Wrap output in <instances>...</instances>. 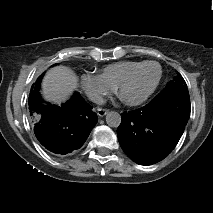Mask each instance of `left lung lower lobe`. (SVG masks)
Masks as SVG:
<instances>
[{"label":"left lung lower lobe","instance_id":"left-lung-lower-lobe-1","mask_svg":"<svg viewBox=\"0 0 213 213\" xmlns=\"http://www.w3.org/2000/svg\"><path fill=\"white\" fill-rule=\"evenodd\" d=\"M189 116L188 90L165 89L148 105L122 114L119 143L134 162L154 164L177 145Z\"/></svg>","mask_w":213,"mask_h":213}]
</instances>
